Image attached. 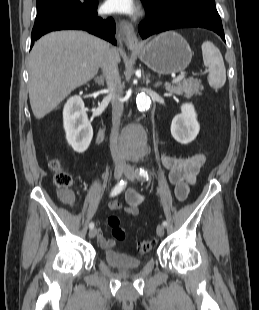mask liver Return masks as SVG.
Instances as JSON below:
<instances>
[{
	"label": "liver",
	"instance_id": "liver-1",
	"mask_svg": "<svg viewBox=\"0 0 259 310\" xmlns=\"http://www.w3.org/2000/svg\"><path fill=\"white\" fill-rule=\"evenodd\" d=\"M109 44L82 31L52 32L33 46L29 58V99L36 119L53 111L72 91L97 74ZM117 62L120 56L112 49Z\"/></svg>",
	"mask_w": 259,
	"mask_h": 310
}]
</instances>
